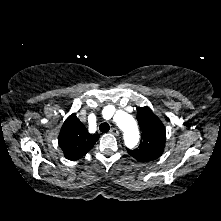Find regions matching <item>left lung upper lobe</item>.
Segmentation results:
<instances>
[{
	"mask_svg": "<svg viewBox=\"0 0 221 221\" xmlns=\"http://www.w3.org/2000/svg\"><path fill=\"white\" fill-rule=\"evenodd\" d=\"M137 120L142 131L141 143L128 153L139 162H150L160 157L165 146V127L149 107L137 109Z\"/></svg>",
	"mask_w": 221,
	"mask_h": 221,
	"instance_id": "1",
	"label": "left lung upper lobe"
}]
</instances>
